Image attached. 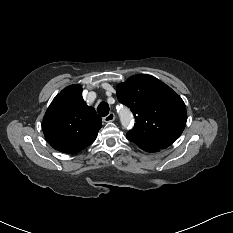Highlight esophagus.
I'll list each match as a JSON object with an SVG mask.
<instances>
[{
  "label": "esophagus",
  "instance_id": "esophagus-1",
  "mask_svg": "<svg viewBox=\"0 0 233 233\" xmlns=\"http://www.w3.org/2000/svg\"><path fill=\"white\" fill-rule=\"evenodd\" d=\"M116 118L115 114L113 112L109 113L107 116L103 118V121L108 123L114 121Z\"/></svg>",
  "mask_w": 233,
  "mask_h": 233
}]
</instances>
